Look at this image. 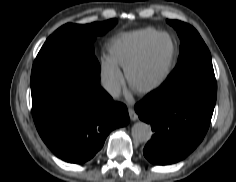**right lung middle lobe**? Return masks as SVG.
Segmentation results:
<instances>
[{
	"label": "right lung middle lobe",
	"instance_id": "dd1d6c3e",
	"mask_svg": "<svg viewBox=\"0 0 236 182\" xmlns=\"http://www.w3.org/2000/svg\"><path fill=\"white\" fill-rule=\"evenodd\" d=\"M117 23L116 19L87 25L68 23L48 37L31 72V88L62 79H77L92 87L100 85V65L94 56V37Z\"/></svg>",
	"mask_w": 236,
	"mask_h": 182
}]
</instances>
